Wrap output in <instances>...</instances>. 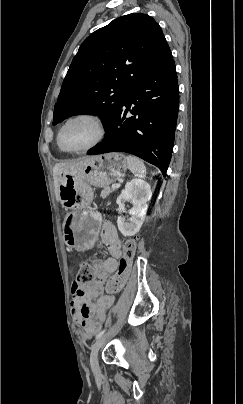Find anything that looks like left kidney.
Listing matches in <instances>:
<instances>
[{
	"instance_id": "5707ae66",
	"label": "left kidney",
	"mask_w": 243,
	"mask_h": 404,
	"mask_svg": "<svg viewBox=\"0 0 243 404\" xmlns=\"http://www.w3.org/2000/svg\"><path fill=\"white\" fill-rule=\"evenodd\" d=\"M152 196L151 188L144 180H131L127 182L125 190H122L117 198L119 214L125 212V202H132L129 214L131 216L128 222L123 220V216H118V228L123 236H135L139 232L145 218L149 202Z\"/></svg>"
}]
</instances>
